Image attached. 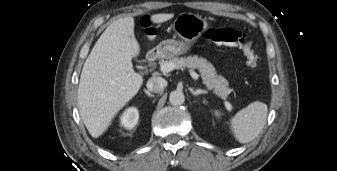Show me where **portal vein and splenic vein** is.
<instances>
[{
  "mask_svg": "<svg viewBox=\"0 0 337 171\" xmlns=\"http://www.w3.org/2000/svg\"><path fill=\"white\" fill-rule=\"evenodd\" d=\"M174 69H176V66L175 64L171 63V62H166L164 64H162L160 66V70L163 72V73H168V72H171L173 71ZM190 75L191 77L194 79V80H198L199 79V75L195 72V71H190ZM225 106L227 108V110L231 111L232 110V106L231 104L226 101L225 102Z\"/></svg>",
  "mask_w": 337,
  "mask_h": 171,
  "instance_id": "1",
  "label": "portal vein and splenic vein"
}]
</instances>
